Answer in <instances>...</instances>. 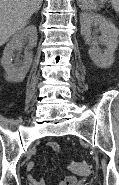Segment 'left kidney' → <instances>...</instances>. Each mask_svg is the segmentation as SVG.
Wrapping results in <instances>:
<instances>
[{
    "instance_id": "obj_1",
    "label": "left kidney",
    "mask_w": 119,
    "mask_h": 185,
    "mask_svg": "<svg viewBox=\"0 0 119 185\" xmlns=\"http://www.w3.org/2000/svg\"><path fill=\"white\" fill-rule=\"evenodd\" d=\"M81 35L89 37L92 33L91 27H99L101 32L100 42L106 48L102 52L97 45L89 49V55L93 63L99 68H108L114 62V52L118 46L119 30L110 19L94 13L82 12L80 14Z\"/></svg>"
}]
</instances>
